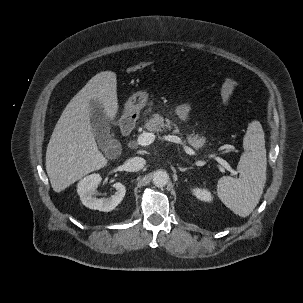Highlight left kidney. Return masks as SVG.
<instances>
[{"label": "left kidney", "mask_w": 303, "mask_h": 303, "mask_svg": "<svg viewBox=\"0 0 303 303\" xmlns=\"http://www.w3.org/2000/svg\"><path fill=\"white\" fill-rule=\"evenodd\" d=\"M193 195L202 201L210 202L213 200L211 192L207 189L196 187L192 190Z\"/></svg>", "instance_id": "5707ae66"}]
</instances>
